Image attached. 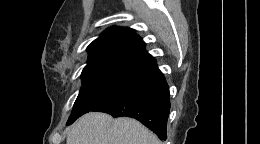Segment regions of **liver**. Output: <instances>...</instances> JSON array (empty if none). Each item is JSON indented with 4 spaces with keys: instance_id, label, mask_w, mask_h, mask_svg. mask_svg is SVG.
Returning a JSON list of instances; mask_svg holds the SVG:
<instances>
[{
    "instance_id": "6515ba94",
    "label": "liver",
    "mask_w": 260,
    "mask_h": 144,
    "mask_svg": "<svg viewBox=\"0 0 260 144\" xmlns=\"http://www.w3.org/2000/svg\"><path fill=\"white\" fill-rule=\"evenodd\" d=\"M67 144H160L140 122L129 117L113 119L105 113H87L69 129Z\"/></svg>"
}]
</instances>
